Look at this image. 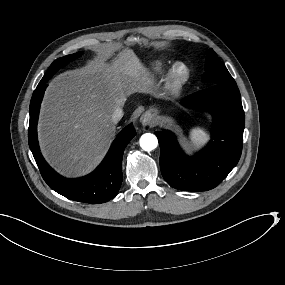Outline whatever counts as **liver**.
<instances>
[{
  "label": "liver",
  "instance_id": "liver-1",
  "mask_svg": "<svg viewBox=\"0 0 285 285\" xmlns=\"http://www.w3.org/2000/svg\"><path fill=\"white\" fill-rule=\"evenodd\" d=\"M152 87L131 52L113 67L96 60L53 79L39 125L45 155L65 173L88 170L116 130L114 110L123 107L132 94H150Z\"/></svg>",
  "mask_w": 285,
  "mask_h": 285
}]
</instances>
